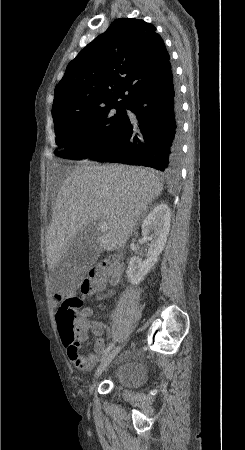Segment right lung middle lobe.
Masks as SVG:
<instances>
[{
  "label": "right lung middle lobe",
  "mask_w": 245,
  "mask_h": 450,
  "mask_svg": "<svg viewBox=\"0 0 245 450\" xmlns=\"http://www.w3.org/2000/svg\"><path fill=\"white\" fill-rule=\"evenodd\" d=\"M128 105L113 104L99 108L70 111L52 110L57 144L62 158L81 160L106 149L120 135L127 121Z\"/></svg>",
  "instance_id": "dd1d6c3e"
}]
</instances>
